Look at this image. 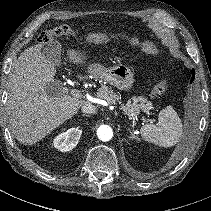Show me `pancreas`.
<instances>
[{
    "label": "pancreas",
    "mask_w": 211,
    "mask_h": 211,
    "mask_svg": "<svg viewBox=\"0 0 211 211\" xmlns=\"http://www.w3.org/2000/svg\"><path fill=\"white\" fill-rule=\"evenodd\" d=\"M97 96L101 99L106 100L108 103L117 105L120 104L119 96L113 92V90L106 85H103L97 93ZM140 103V104H139ZM151 103L143 97H133L132 100H128L126 105H121L119 110H122L124 114L129 116L130 119H134L143 109L146 111Z\"/></svg>",
    "instance_id": "obj_1"
}]
</instances>
